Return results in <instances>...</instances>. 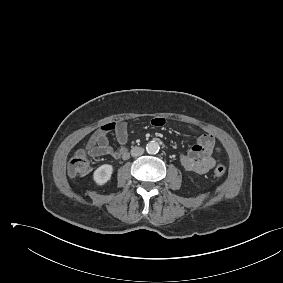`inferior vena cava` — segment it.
<instances>
[{
    "mask_svg": "<svg viewBox=\"0 0 283 283\" xmlns=\"http://www.w3.org/2000/svg\"><path fill=\"white\" fill-rule=\"evenodd\" d=\"M143 153H144V149L141 148V147H133V148L131 149V155H132L133 157L141 156Z\"/></svg>",
    "mask_w": 283,
    "mask_h": 283,
    "instance_id": "obj_1",
    "label": "inferior vena cava"
}]
</instances>
